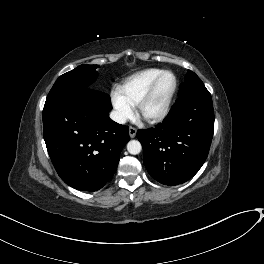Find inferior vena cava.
<instances>
[{"label": "inferior vena cava", "instance_id": "602c4592", "mask_svg": "<svg viewBox=\"0 0 264 264\" xmlns=\"http://www.w3.org/2000/svg\"><path fill=\"white\" fill-rule=\"evenodd\" d=\"M110 118L119 124H125L127 120L125 115L118 111H112L110 113Z\"/></svg>", "mask_w": 264, "mask_h": 264}]
</instances>
